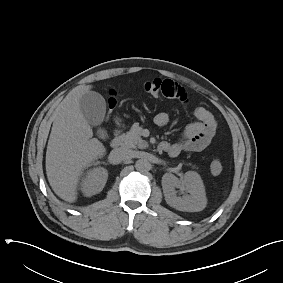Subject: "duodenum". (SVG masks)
<instances>
[{
	"label": "duodenum",
	"mask_w": 283,
	"mask_h": 283,
	"mask_svg": "<svg viewBox=\"0 0 283 283\" xmlns=\"http://www.w3.org/2000/svg\"><path fill=\"white\" fill-rule=\"evenodd\" d=\"M112 148H118L122 145V137L119 131H116L115 136L110 142Z\"/></svg>",
	"instance_id": "410a0bca"
}]
</instances>
